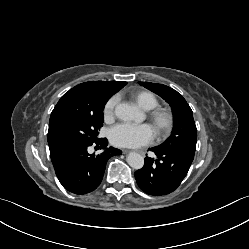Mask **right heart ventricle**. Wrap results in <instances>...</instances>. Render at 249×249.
<instances>
[{"mask_svg":"<svg viewBox=\"0 0 249 249\" xmlns=\"http://www.w3.org/2000/svg\"><path fill=\"white\" fill-rule=\"evenodd\" d=\"M133 100L143 109L151 110L158 106V99L149 91H138L132 94Z\"/></svg>","mask_w":249,"mask_h":249,"instance_id":"obj_1","label":"right heart ventricle"}]
</instances>
